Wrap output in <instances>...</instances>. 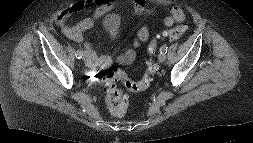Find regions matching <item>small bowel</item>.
<instances>
[{
  "instance_id": "small-bowel-1",
  "label": "small bowel",
  "mask_w": 253,
  "mask_h": 143,
  "mask_svg": "<svg viewBox=\"0 0 253 143\" xmlns=\"http://www.w3.org/2000/svg\"><path fill=\"white\" fill-rule=\"evenodd\" d=\"M133 8L137 14H153L155 9L149 7L146 0H132ZM92 6L95 11L92 16L86 17L75 25H66V20L69 16L83 11L85 8ZM114 6V0H80L69 7L62 10L55 18V23L61 30L64 36L74 42H84L86 50L90 53L94 50V45L91 42L84 41V34L94 25L95 19L107 12H109ZM169 14L164 18V25L166 27H172L175 23H181L185 19L184 11L178 6H171L168 9ZM150 36V29L147 25H143L139 28L137 35L133 41L134 49L137 48L142 42L148 40ZM133 50L128 51L123 58L131 57ZM92 55V54H91ZM96 59L94 56L88 61L90 66L96 65Z\"/></svg>"
}]
</instances>
